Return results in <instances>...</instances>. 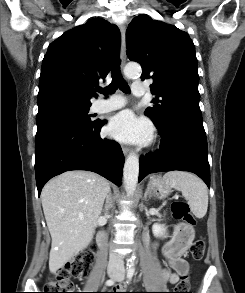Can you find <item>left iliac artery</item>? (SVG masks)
<instances>
[{"instance_id":"left-iliac-artery-1","label":"left iliac artery","mask_w":245,"mask_h":293,"mask_svg":"<svg viewBox=\"0 0 245 293\" xmlns=\"http://www.w3.org/2000/svg\"><path fill=\"white\" fill-rule=\"evenodd\" d=\"M134 273H135V267H129L127 272V278L129 281L132 279Z\"/></svg>"}]
</instances>
